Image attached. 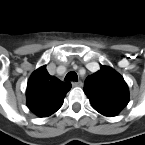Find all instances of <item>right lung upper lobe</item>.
<instances>
[{
	"instance_id": "right-lung-upper-lobe-1",
	"label": "right lung upper lobe",
	"mask_w": 145,
	"mask_h": 145,
	"mask_svg": "<svg viewBox=\"0 0 145 145\" xmlns=\"http://www.w3.org/2000/svg\"><path fill=\"white\" fill-rule=\"evenodd\" d=\"M71 87L70 82L51 76L44 65L33 72L28 80L27 106L39 117L50 116L62 106Z\"/></svg>"
}]
</instances>
